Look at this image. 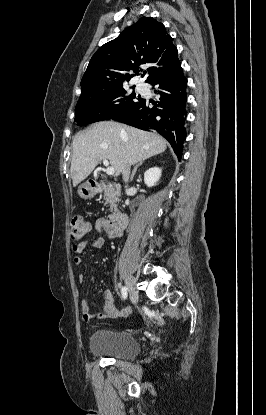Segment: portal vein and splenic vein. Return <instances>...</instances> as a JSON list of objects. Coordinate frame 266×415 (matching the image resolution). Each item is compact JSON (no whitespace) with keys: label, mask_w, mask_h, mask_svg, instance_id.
Listing matches in <instances>:
<instances>
[{"label":"portal vein and splenic vein","mask_w":266,"mask_h":415,"mask_svg":"<svg viewBox=\"0 0 266 415\" xmlns=\"http://www.w3.org/2000/svg\"><path fill=\"white\" fill-rule=\"evenodd\" d=\"M103 164L106 167L105 172H106L107 175H113L115 173L114 167L109 165V162H108L107 159L103 160Z\"/></svg>","instance_id":"18ae733b"}]
</instances>
